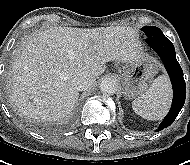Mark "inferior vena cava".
I'll return each instance as SVG.
<instances>
[{
	"label": "inferior vena cava",
	"mask_w": 190,
	"mask_h": 165,
	"mask_svg": "<svg viewBox=\"0 0 190 165\" xmlns=\"http://www.w3.org/2000/svg\"><path fill=\"white\" fill-rule=\"evenodd\" d=\"M95 81L94 76L87 73H79L74 77V84L78 91L88 89Z\"/></svg>",
	"instance_id": "1"
}]
</instances>
